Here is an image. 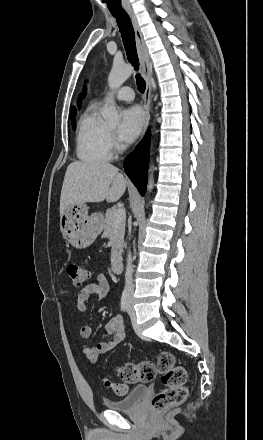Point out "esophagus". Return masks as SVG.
I'll use <instances>...</instances> for the list:
<instances>
[{
	"label": "esophagus",
	"mask_w": 263,
	"mask_h": 440,
	"mask_svg": "<svg viewBox=\"0 0 263 440\" xmlns=\"http://www.w3.org/2000/svg\"><path fill=\"white\" fill-rule=\"evenodd\" d=\"M128 15L131 19L132 26L134 29L137 52L142 68V74L146 81V89L144 93V111H145V122L143 128V136H144L150 121L152 65L148 58L147 48L137 18L131 10L128 11Z\"/></svg>",
	"instance_id": "obj_1"
}]
</instances>
